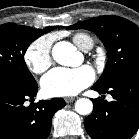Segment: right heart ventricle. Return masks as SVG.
<instances>
[{"mask_svg":"<svg viewBox=\"0 0 139 139\" xmlns=\"http://www.w3.org/2000/svg\"><path fill=\"white\" fill-rule=\"evenodd\" d=\"M74 43L82 50L86 51L93 47V38L87 33H76L73 36Z\"/></svg>","mask_w":139,"mask_h":139,"instance_id":"e07e8e85","label":"right heart ventricle"}]
</instances>
